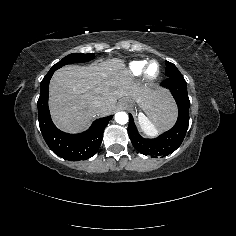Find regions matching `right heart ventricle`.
I'll return each mask as SVG.
<instances>
[{
    "label": "right heart ventricle",
    "instance_id": "e07e8e85",
    "mask_svg": "<svg viewBox=\"0 0 236 236\" xmlns=\"http://www.w3.org/2000/svg\"><path fill=\"white\" fill-rule=\"evenodd\" d=\"M146 60H136L132 61L127 68V74L132 77L140 76L143 73V69L146 65Z\"/></svg>",
    "mask_w": 236,
    "mask_h": 236
}]
</instances>
